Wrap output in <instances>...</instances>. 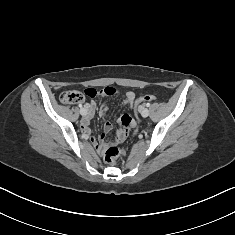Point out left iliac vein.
<instances>
[{"mask_svg":"<svg viewBox=\"0 0 235 235\" xmlns=\"http://www.w3.org/2000/svg\"><path fill=\"white\" fill-rule=\"evenodd\" d=\"M142 117L146 118L149 115V110L147 108H143L141 111Z\"/></svg>","mask_w":235,"mask_h":235,"instance_id":"obj_1","label":"left iliac vein"}]
</instances>
